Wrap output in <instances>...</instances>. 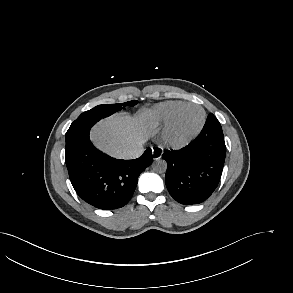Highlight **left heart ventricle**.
Returning a JSON list of instances; mask_svg holds the SVG:
<instances>
[{
  "label": "left heart ventricle",
  "instance_id": "obj_1",
  "mask_svg": "<svg viewBox=\"0 0 293 293\" xmlns=\"http://www.w3.org/2000/svg\"><path fill=\"white\" fill-rule=\"evenodd\" d=\"M202 112L197 107L184 108L176 121L174 136L178 140H183L190 136L200 125Z\"/></svg>",
  "mask_w": 293,
  "mask_h": 293
}]
</instances>
